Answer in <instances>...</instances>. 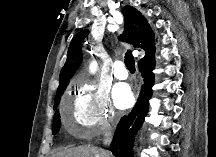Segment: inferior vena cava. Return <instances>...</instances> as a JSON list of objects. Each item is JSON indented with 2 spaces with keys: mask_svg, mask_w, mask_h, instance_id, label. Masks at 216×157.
I'll use <instances>...</instances> for the list:
<instances>
[{
  "mask_svg": "<svg viewBox=\"0 0 216 157\" xmlns=\"http://www.w3.org/2000/svg\"><path fill=\"white\" fill-rule=\"evenodd\" d=\"M110 142H111V133L110 132H105L103 143L105 145H109Z\"/></svg>",
  "mask_w": 216,
  "mask_h": 157,
  "instance_id": "602c4592",
  "label": "inferior vena cava"
}]
</instances>
